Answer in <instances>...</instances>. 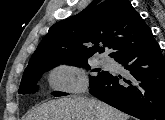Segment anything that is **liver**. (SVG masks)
<instances>
[{"instance_id": "obj_1", "label": "liver", "mask_w": 165, "mask_h": 120, "mask_svg": "<svg viewBox=\"0 0 165 120\" xmlns=\"http://www.w3.org/2000/svg\"><path fill=\"white\" fill-rule=\"evenodd\" d=\"M129 116L96 99L61 98L37 106L26 120H128Z\"/></svg>"}]
</instances>
